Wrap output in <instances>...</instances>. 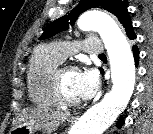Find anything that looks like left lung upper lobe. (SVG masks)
I'll list each match as a JSON object with an SVG mask.
<instances>
[{
    "label": "left lung upper lobe",
    "mask_w": 153,
    "mask_h": 134,
    "mask_svg": "<svg viewBox=\"0 0 153 134\" xmlns=\"http://www.w3.org/2000/svg\"><path fill=\"white\" fill-rule=\"evenodd\" d=\"M102 8L114 14L120 23L125 28L126 34L129 39L133 40L136 35L133 30L131 17L127 10V6L120 0H82L68 15L60 17L53 21L44 33L40 36L39 40H43L53 35L68 29L69 24H73L78 18L79 14L91 9Z\"/></svg>",
    "instance_id": "obj_1"
}]
</instances>
